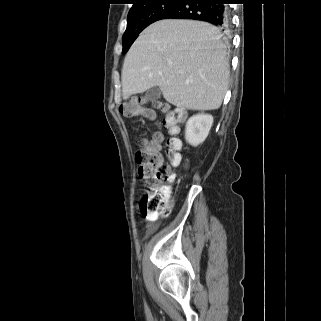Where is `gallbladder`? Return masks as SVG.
Instances as JSON below:
<instances>
[{"label":"gallbladder","instance_id":"1","mask_svg":"<svg viewBox=\"0 0 321 321\" xmlns=\"http://www.w3.org/2000/svg\"><path fill=\"white\" fill-rule=\"evenodd\" d=\"M161 96V90L158 86L150 88L146 94L145 99L149 102H156Z\"/></svg>","mask_w":321,"mask_h":321}]
</instances>
